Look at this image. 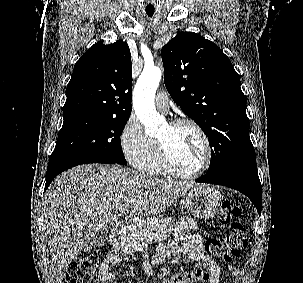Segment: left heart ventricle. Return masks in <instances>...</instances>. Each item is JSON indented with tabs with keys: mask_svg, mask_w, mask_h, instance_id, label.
<instances>
[{
	"mask_svg": "<svg viewBox=\"0 0 303 283\" xmlns=\"http://www.w3.org/2000/svg\"><path fill=\"white\" fill-rule=\"evenodd\" d=\"M168 148L175 167L186 173L198 170L204 161V146L198 133L190 126L172 128L166 125L156 137Z\"/></svg>",
	"mask_w": 303,
	"mask_h": 283,
	"instance_id": "1",
	"label": "left heart ventricle"
}]
</instances>
